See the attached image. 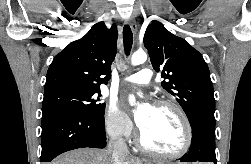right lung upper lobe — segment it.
I'll list each match as a JSON object with an SVG mask.
<instances>
[{
  "instance_id": "cb5924a9",
  "label": "right lung upper lobe",
  "mask_w": 251,
  "mask_h": 164,
  "mask_svg": "<svg viewBox=\"0 0 251 164\" xmlns=\"http://www.w3.org/2000/svg\"><path fill=\"white\" fill-rule=\"evenodd\" d=\"M118 31L96 23L79 40L71 42L57 54L46 76L44 91L60 87L99 90L109 80L111 64L117 52ZM106 75L105 78L101 76Z\"/></svg>"
}]
</instances>
